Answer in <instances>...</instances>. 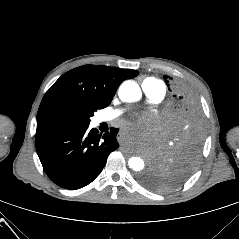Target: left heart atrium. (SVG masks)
Instances as JSON below:
<instances>
[{
    "instance_id": "39dd6f15",
    "label": "left heart atrium",
    "mask_w": 239,
    "mask_h": 239,
    "mask_svg": "<svg viewBox=\"0 0 239 239\" xmlns=\"http://www.w3.org/2000/svg\"><path fill=\"white\" fill-rule=\"evenodd\" d=\"M124 128L127 130L139 129L146 131L150 128L145 116H136L133 120H126L123 122Z\"/></svg>"
}]
</instances>
